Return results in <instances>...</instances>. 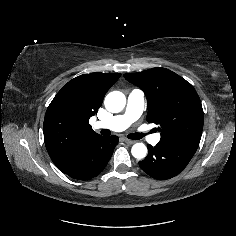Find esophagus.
<instances>
[{"mask_svg":"<svg viewBox=\"0 0 236 236\" xmlns=\"http://www.w3.org/2000/svg\"><path fill=\"white\" fill-rule=\"evenodd\" d=\"M123 141L127 144H134L135 143L134 140H130V139H127V138H123Z\"/></svg>","mask_w":236,"mask_h":236,"instance_id":"1","label":"esophagus"}]
</instances>
